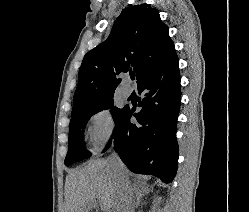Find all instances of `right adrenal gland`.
<instances>
[{
	"instance_id": "obj_1",
	"label": "right adrenal gland",
	"mask_w": 249,
	"mask_h": 212,
	"mask_svg": "<svg viewBox=\"0 0 249 212\" xmlns=\"http://www.w3.org/2000/svg\"><path fill=\"white\" fill-rule=\"evenodd\" d=\"M132 194H134L133 198H135L133 206V210H135V208H138V206H140L142 196H144V194H148V192H142V190L136 188L134 184V186H132Z\"/></svg>"
}]
</instances>
